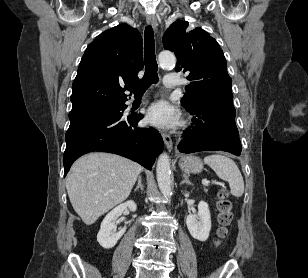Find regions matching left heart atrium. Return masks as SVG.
Here are the masks:
<instances>
[{"instance_id": "obj_1", "label": "left heart atrium", "mask_w": 308, "mask_h": 278, "mask_svg": "<svg viewBox=\"0 0 308 278\" xmlns=\"http://www.w3.org/2000/svg\"><path fill=\"white\" fill-rule=\"evenodd\" d=\"M147 121L159 128H170L179 121L177 109L166 100L154 102L147 110Z\"/></svg>"}]
</instances>
